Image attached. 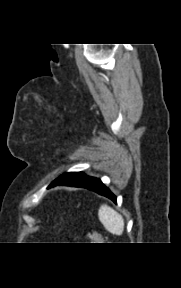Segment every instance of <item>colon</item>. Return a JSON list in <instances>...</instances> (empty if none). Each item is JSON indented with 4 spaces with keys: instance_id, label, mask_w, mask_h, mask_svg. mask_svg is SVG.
<instances>
[{
    "instance_id": "obj_1",
    "label": "colon",
    "mask_w": 181,
    "mask_h": 288,
    "mask_svg": "<svg viewBox=\"0 0 181 288\" xmlns=\"http://www.w3.org/2000/svg\"><path fill=\"white\" fill-rule=\"evenodd\" d=\"M87 237L90 239V240H99L100 239V236L97 232L95 231H90L88 234H87Z\"/></svg>"
}]
</instances>
